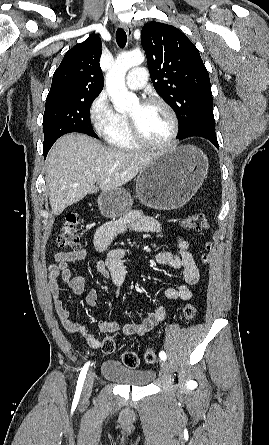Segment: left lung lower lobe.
Instances as JSON below:
<instances>
[{"instance_id":"left-lung-lower-lobe-1","label":"left lung lower lobe","mask_w":269,"mask_h":445,"mask_svg":"<svg viewBox=\"0 0 269 445\" xmlns=\"http://www.w3.org/2000/svg\"><path fill=\"white\" fill-rule=\"evenodd\" d=\"M191 136H198V137H202L205 138L207 140H209L215 147L218 148V142H217V138L215 135V131L213 130H198V131H193L189 134L188 137ZM187 138V137H186ZM180 139V138H179ZM184 139V138H181Z\"/></svg>"}]
</instances>
